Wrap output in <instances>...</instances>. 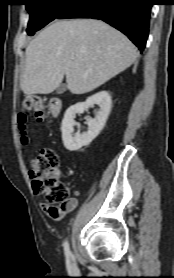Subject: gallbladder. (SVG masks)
Returning <instances> with one entry per match:
<instances>
[{
	"mask_svg": "<svg viewBox=\"0 0 174 278\" xmlns=\"http://www.w3.org/2000/svg\"><path fill=\"white\" fill-rule=\"evenodd\" d=\"M65 91H66V85H65V84H61V85L57 88L56 93H57V94H63Z\"/></svg>",
	"mask_w": 174,
	"mask_h": 278,
	"instance_id": "bac80fb5",
	"label": "gallbladder"
}]
</instances>
